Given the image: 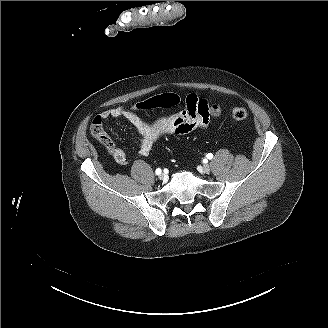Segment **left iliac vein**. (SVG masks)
I'll use <instances>...</instances> for the list:
<instances>
[{"label": "left iliac vein", "mask_w": 328, "mask_h": 328, "mask_svg": "<svg viewBox=\"0 0 328 328\" xmlns=\"http://www.w3.org/2000/svg\"><path fill=\"white\" fill-rule=\"evenodd\" d=\"M203 171L208 174L211 171V168L208 164L203 165Z\"/></svg>", "instance_id": "left-iliac-vein-1"}]
</instances>
